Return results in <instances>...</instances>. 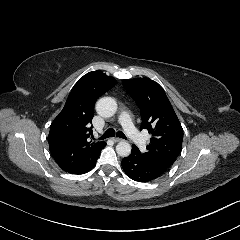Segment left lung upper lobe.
I'll list each match as a JSON object with an SVG mask.
<instances>
[{
	"instance_id": "5c2ea615",
	"label": "left lung upper lobe",
	"mask_w": 240,
	"mask_h": 240,
	"mask_svg": "<svg viewBox=\"0 0 240 240\" xmlns=\"http://www.w3.org/2000/svg\"><path fill=\"white\" fill-rule=\"evenodd\" d=\"M123 86L140 108L141 129L152 135L147 151H132L153 165L168 169L178 157L183 141V128L163 88L149 78L122 81Z\"/></svg>"
}]
</instances>
